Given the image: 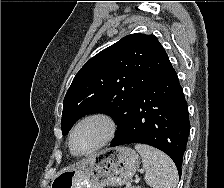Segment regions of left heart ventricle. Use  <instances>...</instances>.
<instances>
[{
    "mask_svg": "<svg viewBox=\"0 0 224 188\" xmlns=\"http://www.w3.org/2000/svg\"><path fill=\"white\" fill-rule=\"evenodd\" d=\"M106 126L100 120H90L83 123L73 137V150L85 153L93 149L105 136Z\"/></svg>",
    "mask_w": 224,
    "mask_h": 188,
    "instance_id": "left-heart-ventricle-1",
    "label": "left heart ventricle"
}]
</instances>
